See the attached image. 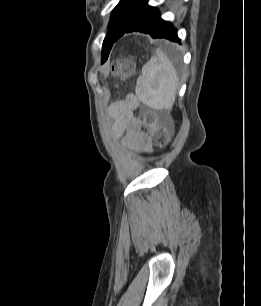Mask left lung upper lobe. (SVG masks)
Instances as JSON below:
<instances>
[{"instance_id": "left-lung-upper-lobe-1", "label": "left lung upper lobe", "mask_w": 261, "mask_h": 306, "mask_svg": "<svg viewBox=\"0 0 261 306\" xmlns=\"http://www.w3.org/2000/svg\"><path fill=\"white\" fill-rule=\"evenodd\" d=\"M146 0H121L114 8L103 42L102 63L107 59L113 43L119 39Z\"/></svg>"}]
</instances>
